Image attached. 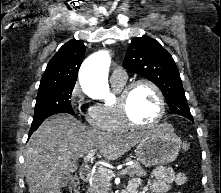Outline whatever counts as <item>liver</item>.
Instances as JSON below:
<instances>
[{"instance_id":"obj_1","label":"liver","mask_w":221,"mask_h":193,"mask_svg":"<svg viewBox=\"0 0 221 193\" xmlns=\"http://www.w3.org/2000/svg\"><path fill=\"white\" fill-rule=\"evenodd\" d=\"M151 131L112 134L91 129L68 114L47 118L30 137L24 152L29 193H61V180L77 170V161L99 150L116 160Z\"/></svg>"}]
</instances>
